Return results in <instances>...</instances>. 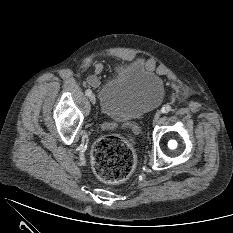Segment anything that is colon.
<instances>
[{"label":"colon","instance_id":"obj_1","mask_svg":"<svg viewBox=\"0 0 233 233\" xmlns=\"http://www.w3.org/2000/svg\"><path fill=\"white\" fill-rule=\"evenodd\" d=\"M91 158L96 175L107 184L124 182L136 165L131 144L116 135L99 138L93 145Z\"/></svg>","mask_w":233,"mask_h":233}]
</instances>
